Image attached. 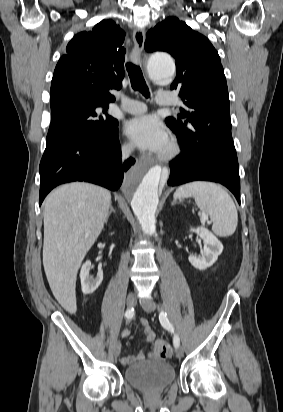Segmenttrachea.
Returning <instances> with one entry per match:
<instances>
[{"mask_svg": "<svg viewBox=\"0 0 283 412\" xmlns=\"http://www.w3.org/2000/svg\"><path fill=\"white\" fill-rule=\"evenodd\" d=\"M126 69L130 78L131 86L134 91H139L146 98L150 97L149 89L144 80L142 71L139 66L128 62L126 64Z\"/></svg>", "mask_w": 283, "mask_h": 412, "instance_id": "obj_1", "label": "trachea"}]
</instances>
